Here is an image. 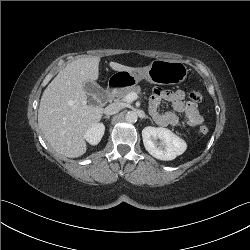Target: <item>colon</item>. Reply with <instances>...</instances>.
<instances>
[{
	"label": "colon",
	"instance_id": "1",
	"mask_svg": "<svg viewBox=\"0 0 250 250\" xmlns=\"http://www.w3.org/2000/svg\"><path fill=\"white\" fill-rule=\"evenodd\" d=\"M189 98L195 103H200L202 101V94L198 90H191L189 92ZM199 133L201 135H206L208 133V128L206 126H201L199 128Z\"/></svg>",
	"mask_w": 250,
	"mask_h": 250
}]
</instances>
